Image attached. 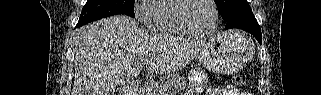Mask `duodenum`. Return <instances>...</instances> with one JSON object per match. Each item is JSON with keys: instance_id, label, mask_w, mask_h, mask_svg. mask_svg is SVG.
<instances>
[{"instance_id": "obj_1", "label": "duodenum", "mask_w": 321, "mask_h": 95, "mask_svg": "<svg viewBox=\"0 0 321 95\" xmlns=\"http://www.w3.org/2000/svg\"><path fill=\"white\" fill-rule=\"evenodd\" d=\"M120 95H132L131 93H129L128 91L124 90L120 93Z\"/></svg>"}]
</instances>
